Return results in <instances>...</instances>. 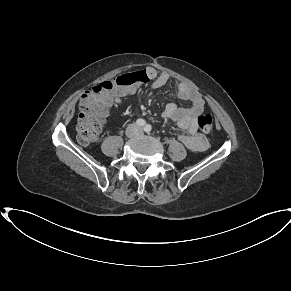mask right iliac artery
<instances>
[{
	"label": "right iliac artery",
	"mask_w": 291,
	"mask_h": 291,
	"mask_svg": "<svg viewBox=\"0 0 291 291\" xmlns=\"http://www.w3.org/2000/svg\"><path fill=\"white\" fill-rule=\"evenodd\" d=\"M136 124H137L138 126H144V125L146 124V122H145V120H143V119H138V120L136 121Z\"/></svg>",
	"instance_id": "obj_1"
}]
</instances>
